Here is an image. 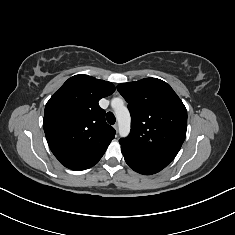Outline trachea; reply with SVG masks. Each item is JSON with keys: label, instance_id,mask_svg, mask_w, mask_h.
Returning <instances> with one entry per match:
<instances>
[{"label": "trachea", "instance_id": "1", "mask_svg": "<svg viewBox=\"0 0 235 235\" xmlns=\"http://www.w3.org/2000/svg\"><path fill=\"white\" fill-rule=\"evenodd\" d=\"M106 119H107V122L109 124H115V121H116V118L114 116V114L112 112H108L107 115H106Z\"/></svg>", "mask_w": 235, "mask_h": 235}]
</instances>
